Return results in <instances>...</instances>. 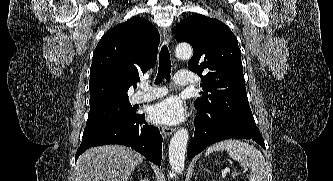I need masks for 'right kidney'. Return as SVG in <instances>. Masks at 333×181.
<instances>
[{"instance_id": "1", "label": "right kidney", "mask_w": 333, "mask_h": 181, "mask_svg": "<svg viewBox=\"0 0 333 181\" xmlns=\"http://www.w3.org/2000/svg\"><path fill=\"white\" fill-rule=\"evenodd\" d=\"M140 181H150V180L147 178H144V179H141Z\"/></svg>"}]
</instances>
